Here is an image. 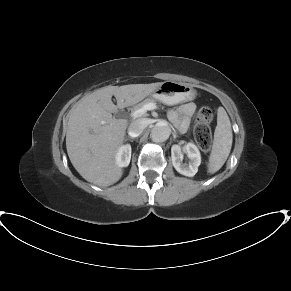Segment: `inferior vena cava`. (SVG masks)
<instances>
[{"instance_id": "obj_1", "label": "inferior vena cava", "mask_w": 291, "mask_h": 291, "mask_svg": "<svg viewBox=\"0 0 291 291\" xmlns=\"http://www.w3.org/2000/svg\"><path fill=\"white\" fill-rule=\"evenodd\" d=\"M150 121L147 118H141L133 121L128 128L130 137H138L143 130L149 125Z\"/></svg>"}]
</instances>
